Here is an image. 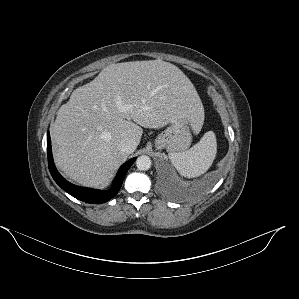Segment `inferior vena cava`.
<instances>
[{
  "mask_svg": "<svg viewBox=\"0 0 299 299\" xmlns=\"http://www.w3.org/2000/svg\"><path fill=\"white\" fill-rule=\"evenodd\" d=\"M119 146L122 152L130 154L135 151L137 143L133 139L126 138L121 140Z\"/></svg>",
  "mask_w": 299,
  "mask_h": 299,
  "instance_id": "obj_1",
  "label": "inferior vena cava"
}]
</instances>
